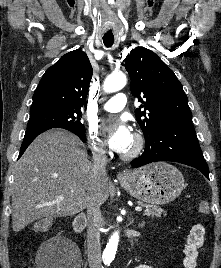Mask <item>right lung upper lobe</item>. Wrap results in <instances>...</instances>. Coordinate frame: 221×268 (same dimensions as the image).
Wrapping results in <instances>:
<instances>
[{
	"label": "right lung upper lobe",
	"instance_id": "obj_1",
	"mask_svg": "<svg viewBox=\"0 0 221 268\" xmlns=\"http://www.w3.org/2000/svg\"><path fill=\"white\" fill-rule=\"evenodd\" d=\"M85 52L74 50L49 67L33 95L30 114L47 111H81L92 78Z\"/></svg>",
	"mask_w": 221,
	"mask_h": 268
}]
</instances>
